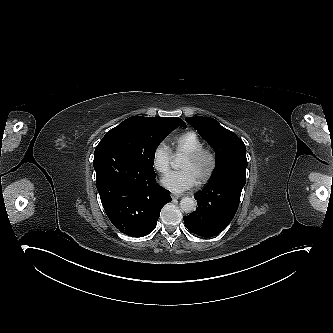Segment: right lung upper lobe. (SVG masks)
Wrapping results in <instances>:
<instances>
[{
	"label": "right lung upper lobe",
	"instance_id": "cb5924a9",
	"mask_svg": "<svg viewBox=\"0 0 333 333\" xmlns=\"http://www.w3.org/2000/svg\"><path fill=\"white\" fill-rule=\"evenodd\" d=\"M160 119H164V120H168V121H171V122L179 123L181 125H186L180 118H177V117H175V118H164V117H162Z\"/></svg>",
	"mask_w": 333,
	"mask_h": 333
}]
</instances>
